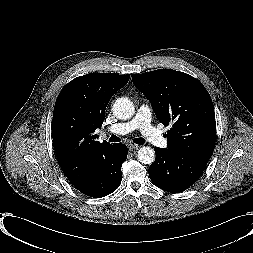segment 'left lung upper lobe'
<instances>
[{"instance_id":"5c2ea615","label":"left lung upper lobe","mask_w":253,"mask_h":253,"mask_svg":"<svg viewBox=\"0 0 253 253\" xmlns=\"http://www.w3.org/2000/svg\"><path fill=\"white\" fill-rule=\"evenodd\" d=\"M135 86L149 99L158 120L172 125L167 149L211 157L216 141L214 106L196 78L172 69L134 74Z\"/></svg>"}]
</instances>
